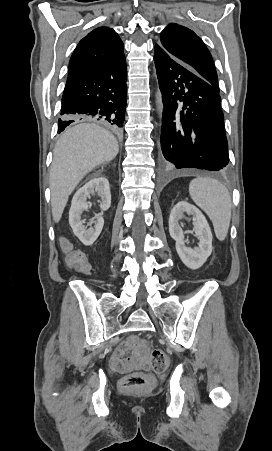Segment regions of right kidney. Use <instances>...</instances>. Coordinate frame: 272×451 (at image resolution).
Returning <instances> with one entry per match:
<instances>
[{"label": "right kidney", "instance_id": "obj_1", "mask_svg": "<svg viewBox=\"0 0 272 451\" xmlns=\"http://www.w3.org/2000/svg\"><path fill=\"white\" fill-rule=\"evenodd\" d=\"M90 196H100V200H98L100 208L102 212H106L111 206V192L108 180L103 178V176L92 178L83 188L77 190L75 196H73L69 210V224L84 245H92L104 226L101 214H96L95 218L88 222V226L91 227L83 226L85 220H81V216L84 210H88L87 198H90Z\"/></svg>", "mask_w": 272, "mask_h": 451}]
</instances>
